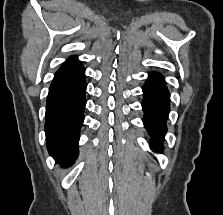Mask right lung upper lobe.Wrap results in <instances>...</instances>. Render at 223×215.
<instances>
[{
  "instance_id": "1",
  "label": "right lung upper lobe",
  "mask_w": 223,
  "mask_h": 215,
  "mask_svg": "<svg viewBox=\"0 0 223 215\" xmlns=\"http://www.w3.org/2000/svg\"><path fill=\"white\" fill-rule=\"evenodd\" d=\"M84 67L75 56L70 57L56 72L53 81L73 76L83 70Z\"/></svg>"
}]
</instances>
